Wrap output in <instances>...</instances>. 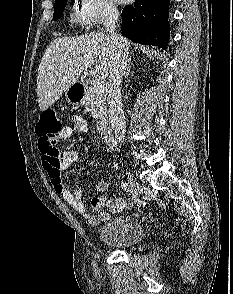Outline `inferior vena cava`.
I'll return each instance as SVG.
<instances>
[{
  "label": "inferior vena cava",
  "instance_id": "1",
  "mask_svg": "<svg viewBox=\"0 0 233 294\" xmlns=\"http://www.w3.org/2000/svg\"><path fill=\"white\" fill-rule=\"evenodd\" d=\"M119 18V11L111 8L105 22L106 32L111 38L116 52L112 64L109 81V118L112 129L119 143H123L126 121L121 103V82L127 68V56L123 51L122 37L116 32V24Z\"/></svg>",
  "mask_w": 233,
  "mask_h": 294
}]
</instances>
